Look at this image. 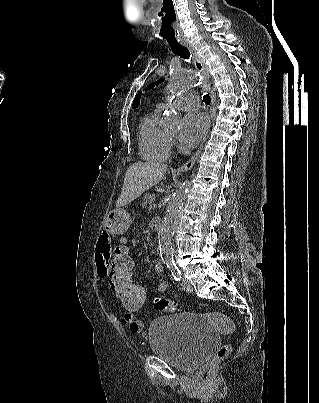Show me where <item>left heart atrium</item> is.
<instances>
[{
  "label": "left heart atrium",
  "instance_id": "left-heart-atrium-1",
  "mask_svg": "<svg viewBox=\"0 0 319 403\" xmlns=\"http://www.w3.org/2000/svg\"><path fill=\"white\" fill-rule=\"evenodd\" d=\"M208 121L205 115L190 112L184 118L179 132V142L185 148H194L204 135Z\"/></svg>",
  "mask_w": 319,
  "mask_h": 403
}]
</instances>
